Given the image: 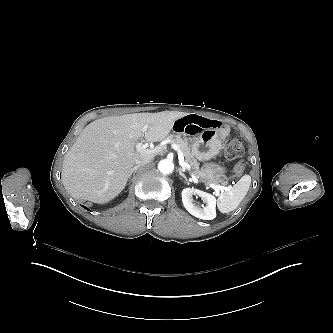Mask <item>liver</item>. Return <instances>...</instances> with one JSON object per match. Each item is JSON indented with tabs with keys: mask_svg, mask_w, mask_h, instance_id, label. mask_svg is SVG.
Masks as SVG:
<instances>
[{
	"mask_svg": "<svg viewBox=\"0 0 333 333\" xmlns=\"http://www.w3.org/2000/svg\"><path fill=\"white\" fill-rule=\"evenodd\" d=\"M186 112L164 111L109 116L88 124L63 160L62 183L76 200L107 203L125 188L133 166L149 151L139 152L140 138L160 142ZM148 126L144 131V126Z\"/></svg>",
	"mask_w": 333,
	"mask_h": 333,
	"instance_id": "6515ba94",
	"label": "liver"
}]
</instances>
